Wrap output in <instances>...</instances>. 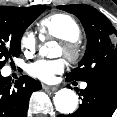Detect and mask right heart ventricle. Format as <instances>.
<instances>
[{
  "instance_id": "e07e8e85",
  "label": "right heart ventricle",
  "mask_w": 117,
  "mask_h": 117,
  "mask_svg": "<svg viewBox=\"0 0 117 117\" xmlns=\"http://www.w3.org/2000/svg\"><path fill=\"white\" fill-rule=\"evenodd\" d=\"M42 39L57 38L66 41H77L81 30L79 24L69 14L53 13L42 18L38 24Z\"/></svg>"
}]
</instances>
